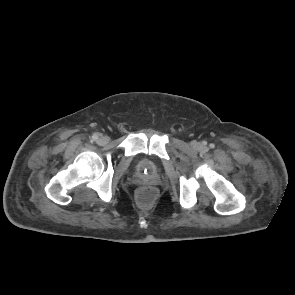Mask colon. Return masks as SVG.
Masks as SVG:
<instances>
[{
  "label": "colon",
  "instance_id": "5ec220e1",
  "mask_svg": "<svg viewBox=\"0 0 295 295\" xmlns=\"http://www.w3.org/2000/svg\"><path fill=\"white\" fill-rule=\"evenodd\" d=\"M157 195V191L152 186H143L137 192V199L142 205L151 204Z\"/></svg>",
  "mask_w": 295,
  "mask_h": 295
}]
</instances>
